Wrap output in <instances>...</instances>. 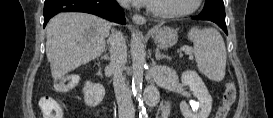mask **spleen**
I'll return each instance as SVG.
<instances>
[{
	"mask_svg": "<svg viewBox=\"0 0 273 118\" xmlns=\"http://www.w3.org/2000/svg\"><path fill=\"white\" fill-rule=\"evenodd\" d=\"M193 42L195 59L202 74L220 82L225 76L226 48L220 33L214 28L193 27L188 32Z\"/></svg>",
	"mask_w": 273,
	"mask_h": 118,
	"instance_id": "1",
	"label": "spleen"
}]
</instances>
